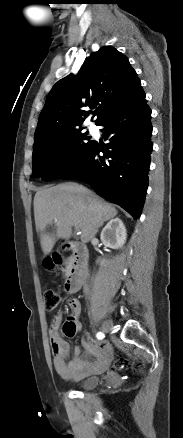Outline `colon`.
Returning <instances> with one entry per match:
<instances>
[{"mask_svg":"<svg viewBox=\"0 0 183 438\" xmlns=\"http://www.w3.org/2000/svg\"><path fill=\"white\" fill-rule=\"evenodd\" d=\"M62 260L63 259L61 255H54L45 262V266L48 269H53L54 267L60 265L62 263ZM43 298L44 307L47 311H53L54 309H56L60 301L59 295L50 289L44 291ZM63 332L66 336L73 337L76 333V327L73 323L66 322L63 326ZM114 365L116 368H123L125 365V360L119 359L115 362Z\"/></svg>","mask_w":183,"mask_h":438,"instance_id":"obj_1","label":"colon"}]
</instances>
